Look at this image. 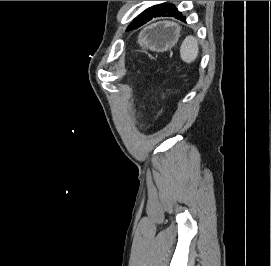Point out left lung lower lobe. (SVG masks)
Here are the masks:
<instances>
[{
	"label": "left lung lower lobe",
	"instance_id": "1",
	"mask_svg": "<svg viewBox=\"0 0 271 266\" xmlns=\"http://www.w3.org/2000/svg\"><path fill=\"white\" fill-rule=\"evenodd\" d=\"M174 17L176 19H180L181 21H185V18L183 17L182 13L178 11L177 8L171 9L170 11H156V12H152L148 15H146L145 17L141 18L136 25L132 26L131 28L129 27V29H133L135 27H140L143 24L147 23L149 20H151L152 18H156V17Z\"/></svg>",
	"mask_w": 271,
	"mask_h": 266
}]
</instances>
